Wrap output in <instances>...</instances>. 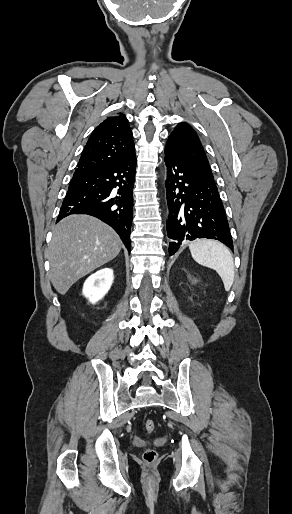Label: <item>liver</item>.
<instances>
[{"label":"liver","instance_id":"1","mask_svg":"<svg viewBox=\"0 0 292 514\" xmlns=\"http://www.w3.org/2000/svg\"><path fill=\"white\" fill-rule=\"evenodd\" d=\"M122 242L107 224L93 216H67L55 226L47 252L50 280L58 294L118 256Z\"/></svg>","mask_w":292,"mask_h":514}]
</instances>
